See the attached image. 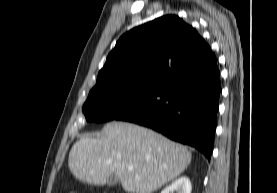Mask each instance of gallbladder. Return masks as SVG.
<instances>
[{
    "instance_id": "obj_1",
    "label": "gallbladder",
    "mask_w": 277,
    "mask_h": 193,
    "mask_svg": "<svg viewBox=\"0 0 277 193\" xmlns=\"http://www.w3.org/2000/svg\"><path fill=\"white\" fill-rule=\"evenodd\" d=\"M118 182H119L118 178H116L115 176H111L107 181V185L109 187H113V186L117 185Z\"/></svg>"
}]
</instances>
